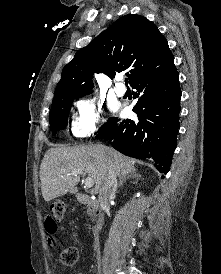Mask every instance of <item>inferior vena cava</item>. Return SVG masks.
Wrapping results in <instances>:
<instances>
[{
	"instance_id": "inferior-vena-cava-1",
	"label": "inferior vena cava",
	"mask_w": 221,
	"mask_h": 274,
	"mask_svg": "<svg viewBox=\"0 0 221 274\" xmlns=\"http://www.w3.org/2000/svg\"><path fill=\"white\" fill-rule=\"evenodd\" d=\"M116 176L117 175L114 166L111 164L109 167L106 182L99 192V202L101 210L106 209V207L108 206L109 199L115 195V192L117 190ZM103 219V215H101L96 226V232L102 229Z\"/></svg>"
}]
</instances>
